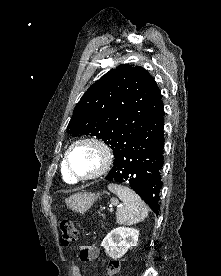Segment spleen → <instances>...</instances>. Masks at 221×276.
<instances>
[{
  "label": "spleen",
  "instance_id": "3e777b00",
  "mask_svg": "<svg viewBox=\"0 0 221 276\" xmlns=\"http://www.w3.org/2000/svg\"><path fill=\"white\" fill-rule=\"evenodd\" d=\"M108 189L124 203V206L118 208L116 212L118 224L133 225L143 221L148 216L147 206L131 189L114 183L109 184Z\"/></svg>",
  "mask_w": 221,
  "mask_h": 276
}]
</instances>
